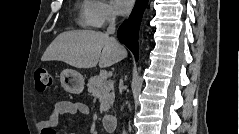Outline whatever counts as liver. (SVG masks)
<instances>
[{
    "label": "liver",
    "instance_id": "6515ba94",
    "mask_svg": "<svg viewBox=\"0 0 239 134\" xmlns=\"http://www.w3.org/2000/svg\"><path fill=\"white\" fill-rule=\"evenodd\" d=\"M127 56L126 49L106 33L76 30L59 34L42 61H62L75 68L109 67Z\"/></svg>",
    "mask_w": 239,
    "mask_h": 134
}]
</instances>
